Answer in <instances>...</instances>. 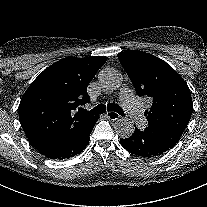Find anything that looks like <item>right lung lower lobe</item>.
I'll list each match as a JSON object with an SVG mask.
<instances>
[{
    "instance_id": "1",
    "label": "right lung lower lobe",
    "mask_w": 207,
    "mask_h": 207,
    "mask_svg": "<svg viewBox=\"0 0 207 207\" xmlns=\"http://www.w3.org/2000/svg\"><path fill=\"white\" fill-rule=\"evenodd\" d=\"M98 119V116H92L80 126L72 129L66 138L57 144L56 148L43 155L50 159L62 160L79 154L86 148L90 133Z\"/></svg>"
}]
</instances>
